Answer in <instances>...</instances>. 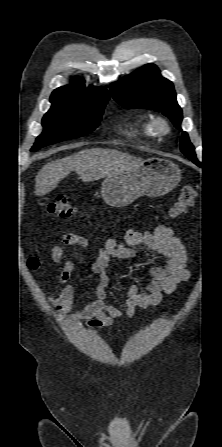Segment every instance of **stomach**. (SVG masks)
Here are the masks:
<instances>
[{
    "label": "stomach",
    "instance_id": "obj_1",
    "mask_svg": "<svg viewBox=\"0 0 222 447\" xmlns=\"http://www.w3.org/2000/svg\"><path fill=\"white\" fill-rule=\"evenodd\" d=\"M181 180V171L172 161L152 157L133 169L110 174L101 194L112 207H125L140 196L158 197L171 192Z\"/></svg>",
    "mask_w": 222,
    "mask_h": 447
}]
</instances>
